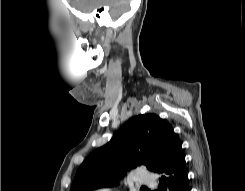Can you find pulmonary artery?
<instances>
[{
    "instance_id": "pulmonary-artery-1",
    "label": "pulmonary artery",
    "mask_w": 245,
    "mask_h": 191,
    "mask_svg": "<svg viewBox=\"0 0 245 191\" xmlns=\"http://www.w3.org/2000/svg\"><path fill=\"white\" fill-rule=\"evenodd\" d=\"M134 181L137 185L154 187L156 178L152 173L138 169L134 174ZM97 191H110L108 188L99 189Z\"/></svg>"
}]
</instances>
